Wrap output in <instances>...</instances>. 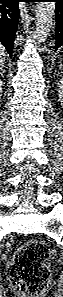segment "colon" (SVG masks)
<instances>
[{
	"label": "colon",
	"instance_id": "obj_1",
	"mask_svg": "<svg viewBox=\"0 0 63 297\" xmlns=\"http://www.w3.org/2000/svg\"><path fill=\"white\" fill-rule=\"evenodd\" d=\"M48 247L39 240H29L16 252L9 268L12 289L24 297H39L50 281Z\"/></svg>",
	"mask_w": 63,
	"mask_h": 297
}]
</instances>
